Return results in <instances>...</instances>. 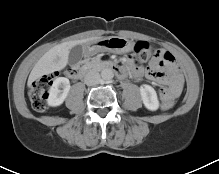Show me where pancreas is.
Masks as SVG:
<instances>
[{"instance_id": "cf45deb5", "label": "pancreas", "mask_w": 219, "mask_h": 174, "mask_svg": "<svg viewBox=\"0 0 219 174\" xmlns=\"http://www.w3.org/2000/svg\"><path fill=\"white\" fill-rule=\"evenodd\" d=\"M86 64L89 68H99L101 65V61L98 58H93L90 61H87Z\"/></svg>"}]
</instances>
